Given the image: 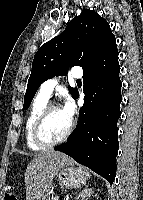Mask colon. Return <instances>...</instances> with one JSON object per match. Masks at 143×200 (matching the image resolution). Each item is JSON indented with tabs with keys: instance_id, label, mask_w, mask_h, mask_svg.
<instances>
[{
	"instance_id": "1",
	"label": "colon",
	"mask_w": 143,
	"mask_h": 200,
	"mask_svg": "<svg viewBox=\"0 0 143 200\" xmlns=\"http://www.w3.org/2000/svg\"><path fill=\"white\" fill-rule=\"evenodd\" d=\"M4 200H18L16 195L10 188H7L4 195Z\"/></svg>"
}]
</instances>
